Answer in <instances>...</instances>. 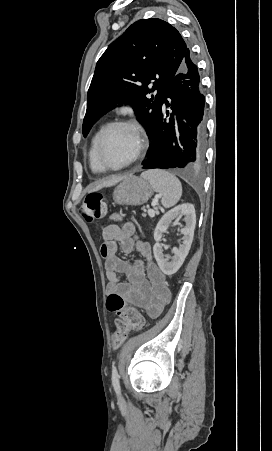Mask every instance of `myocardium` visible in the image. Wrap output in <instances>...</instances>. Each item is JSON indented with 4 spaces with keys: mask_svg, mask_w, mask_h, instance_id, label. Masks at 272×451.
Masks as SVG:
<instances>
[{
    "mask_svg": "<svg viewBox=\"0 0 272 451\" xmlns=\"http://www.w3.org/2000/svg\"><path fill=\"white\" fill-rule=\"evenodd\" d=\"M114 128H123L126 131H128L130 138H131L132 148H131L130 157L123 166H121L120 168H117V169H108L101 162V148L103 146L106 135ZM143 136H144V134H143L142 130L131 122L115 121V122L109 123L99 134V137H98V140L96 143L95 156H96L99 173H105V172L118 173V172H122L125 169H127L137 159V157L139 155V152H140L141 146H142Z\"/></svg>",
    "mask_w": 272,
    "mask_h": 451,
    "instance_id": "obj_1",
    "label": "myocardium"
}]
</instances>
